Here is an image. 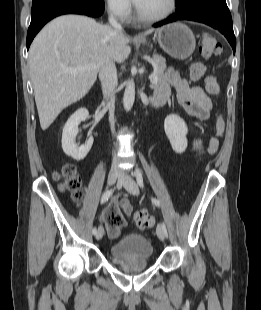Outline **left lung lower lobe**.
Returning a JSON list of instances; mask_svg holds the SVG:
<instances>
[{
	"label": "left lung lower lobe",
	"instance_id": "obj_1",
	"mask_svg": "<svg viewBox=\"0 0 261 310\" xmlns=\"http://www.w3.org/2000/svg\"><path fill=\"white\" fill-rule=\"evenodd\" d=\"M177 20L196 21L218 29L227 38L235 52L236 39L226 0H197L187 9L177 11L167 19L156 23L154 27H159Z\"/></svg>",
	"mask_w": 261,
	"mask_h": 310
}]
</instances>
